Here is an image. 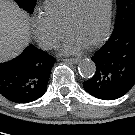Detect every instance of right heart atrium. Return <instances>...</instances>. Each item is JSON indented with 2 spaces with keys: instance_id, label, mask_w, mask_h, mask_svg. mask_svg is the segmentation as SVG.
<instances>
[{
  "instance_id": "1",
  "label": "right heart atrium",
  "mask_w": 135,
  "mask_h": 135,
  "mask_svg": "<svg viewBox=\"0 0 135 135\" xmlns=\"http://www.w3.org/2000/svg\"><path fill=\"white\" fill-rule=\"evenodd\" d=\"M32 31L39 44L47 49L56 47L64 34L63 29L45 14H38L33 18Z\"/></svg>"
}]
</instances>
